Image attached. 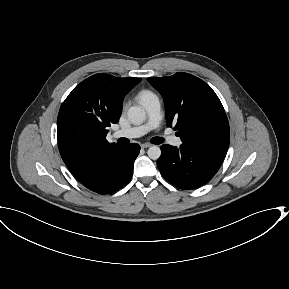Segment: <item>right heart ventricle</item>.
<instances>
[{"label":"right heart ventricle","mask_w":289,"mask_h":289,"mask_svg":"<svg viewBox=\"0 0 289 289\" xmlns=\"http://www.w3.org/2000/svg\"><path fill=\"white\" fill-rule=\"evenodd\" d=\"M152 97H155V95L149 90H142L137 95V98L142 105H144L145 102H147Z\"/></svg>","instance_id":"e07e8e85"}]
</instances>
